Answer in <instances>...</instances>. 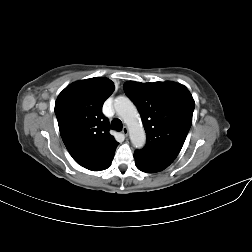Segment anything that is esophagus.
I'll use <instances>...</instances> for the list:
<instances>
[{
  "label": "esophagus",
  "mask_w": 252,
  "mask_h": 252,
  "mask_svg": "<svg viewBox=\"0 0 252 252\" xmlns=\"http://www.w3.org/2000/svg\"><path fill=\"white\" fill-rule=\"evenodd\" d=\"M122 134L124 135V136H128V128L125 126V127H123V129H122Z\"/></svg>",
  "instance_id": "obj_1"
}]
</instances>
